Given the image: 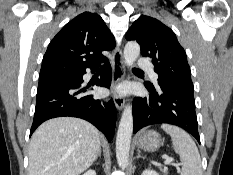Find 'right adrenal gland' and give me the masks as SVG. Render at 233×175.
<instances>
[{"mask_svg":"<svg viewBox=\"0 0 233 175\" xmlns=\"http://www.w3.org/2000/svg\"><path fill=\"white\" fill-rule=\"evenodd\" d=\"M98 157H101V147H100V150H99V153H98L97 158H98ZM97 158H96V160H97Z\"/></svg>","mask_w":233,"mask_h":175,"instance_id":"obj_1","label":"right adrenal gland"}]
</instances>
